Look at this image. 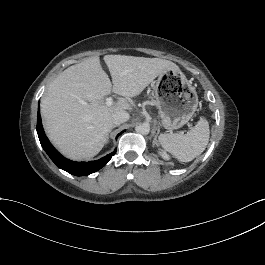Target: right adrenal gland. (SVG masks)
Segmentation results:
<instances>
[{
  "instance_id": "obj_1",
  "label": "right adrenal gland",
  "mask_w": 265,
  "mask_h": 265,
  "mask_svg": "<svg viewBox=\"0 0 265 265\" xmlns=\"http://www.w3.org/2000/svg\"><path fill=\"white\" fill-rule=\"evenodd\" d=\"M116 127H118V125H115L113 128H116Z\"/></svg>"
}]
</instances>
